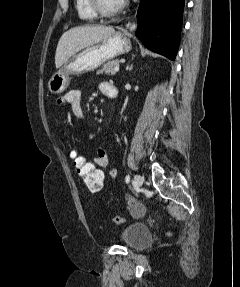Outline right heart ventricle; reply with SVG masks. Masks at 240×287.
Masks as SVG:
<instances>
[{
    "mask_svg": "<svg viewBox=\"0 0 240 287\" xmlns=\"http://www.w3.org/2000/svg\"><path fill=\"white\" fill-rule=\"evenodd\" d=\"M74 4L81 20L90 21L95 20L98 17L91 6L90 0H75Z\"/></svg>",
    "mask_w": 240,
    "mask_h": 287,
    "instance_id": "e07e8e85",
    "label": "right heart ventricle"
}]
</instances>
